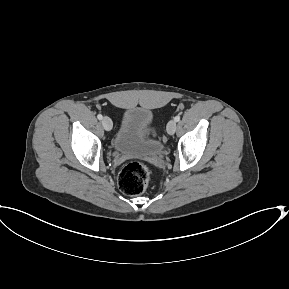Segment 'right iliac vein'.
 I'll return each instance as SVG.
<instances>
[{
    "mask_svg": "<svg viewBox=\"0 0 289 289\" xmlns=\"http://www.w3.org/2000/svg\"><path fill=\"white\" fill-rule=\"evenodd\" d=\"M102 126L106 131H110L113 127L112 120L109 117H104L102 119Z\"/></svg>",
    "mask_w": 289,
    "mask_h": 289,
    "instance_id": "obj_1",
    "label": "right iliac vein"
}]
</instances>
